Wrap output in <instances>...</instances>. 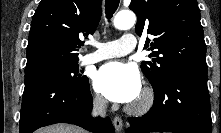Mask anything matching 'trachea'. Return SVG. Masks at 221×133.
<instances>
[{
	"label": "trachea",
	"mask_w": 221,
	"mask_h": 133,
	"mask_svg": "<svg viewBox=\"0 0 221 133\" xmlns=\"http://www.w3.org/2000/svg\"><path fill=\"white\" fill-rule=\"evenodd\" d=\"M119 0H106L105 1V13L107 19H111L114 12L117 10Z\"/></svg>",
	"instance_id": "trachea-1"
}]
</instances>
